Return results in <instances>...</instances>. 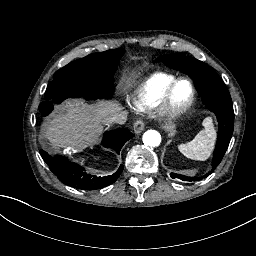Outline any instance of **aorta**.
<instances>
[{
  "instance_id": "aorta-1",
  "label": "aorta",
  "mask_w": 256,
  "mask_h": 256,
  "mask_svg": "<svg viewBox=\"0 0 256 256\" xmlns=\"http://www.w3.org/2000/svg\"><path fill=\"white\" fill-rule=\"evenodd\" d=\"M143 143L150 147H157L161 143V135L156 130H147L142 137Z\"/></svg>"
}]
</instances>
